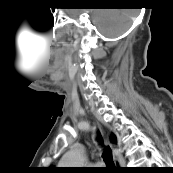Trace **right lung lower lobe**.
I'll use <instances>...</instances> for the list:
<instances>
[{
  "label": "right lung lower lobe",
  "instance_id": "right-lung-lower-lobe-1",
  "mask_svg": "<svg viewBox=\"0 0 173 173\" xmlns=\"http://www.w3.org/2000/svg\"><path fill=\"white\" fill-rule=\"evenodd\" d=\"M119 173H131V172H134L132 170H127V169H120L118 170Z\"/></svg>",
  "mask_w": 173,
  "mask_h": 173
}]
</instances>
